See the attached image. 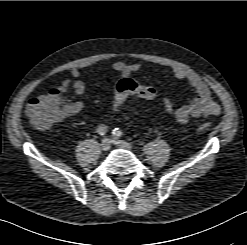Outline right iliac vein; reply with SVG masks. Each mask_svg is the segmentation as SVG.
Instances as JSON below:
<instances>
[{"label": "right iliac vein", "instance_id": "right-iliac-vein-1", "mask_svg": "<svg viewBox=\"0 0 247 245\" xmlns=\"http://www.w3.org/2000/svg\"><path fill=\"white\" fill-rule=\"evenodd\" d=\"M111 147V140L108 138H104L101 142V150L106 152L110 149Z\"/></svg>", "mask_w": 247, "mask_h": 245}]
</instances>
